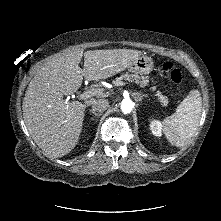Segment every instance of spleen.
I'll return each mask as SVG.
<instances>
[{"label":"spleen","instance_id":"3e777b00","mask_svg":"<svg viewBox=\"0 0 221 221\" xmlns=\"http://www.w3.org/2000/svg\"><path fill=\"white\" fill-rule=\"evenodd\" d=\"M202 112L200 92L193 89L178 105L176 112L163 121L167 140L176 147H183L194 136Z\"/></svg>","mask_w":221,"mask_h":221}]
</instances>
